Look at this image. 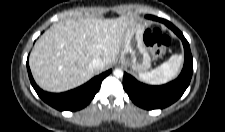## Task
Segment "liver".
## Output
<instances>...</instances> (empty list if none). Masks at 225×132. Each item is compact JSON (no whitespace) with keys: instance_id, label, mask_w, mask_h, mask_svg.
<instances>
[{"instance_id":"obj_1","label":"liver","mask_w":225,"mask_h":132,"mask_svg":"<svg viewBox=\"0 0 225 132\" xmlns=\"http://www.w3.org/2000/svg\"><path fill=\"white\" fill-rule=\"evenodd\" d=\"M134 17L114 19H66L50 27L35 43L29 65L37 85L60 93L78 87L98 72L89 68L95 58L104 61L103 70L114 63L126 29Z\"/></svg>"}]
</instances>
